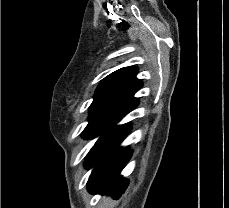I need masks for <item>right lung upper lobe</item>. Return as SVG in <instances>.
I'll list each match as a JSON object with an SVG mask.
<instances>
[{
  "mask_svg": "<svg viewBox=\"0 0 229 208\" xmlns=\"http://www.w3.org/2000/svg\"><path fill=\"white\" fill-rule=\"evenodd\" d=\"M136 67L121 68L104 78L94 96V101L118 100L138 104V99L133 95L143 86L136 78Z\"/></svg>",
  "mask_w": 229,
  "mask_h": 208,
  "instance_id": "1",
  "label": "right lung upper lobe"
}]
</instances>
